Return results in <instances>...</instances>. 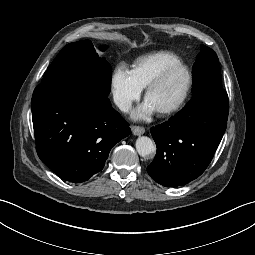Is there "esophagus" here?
<instances>
[{
  "mask_svg": "<svg viewBox=\"0 0 255 255\" xmlns=\"http://www.w3.org/2000/svg\"><path fill=\"white\" fill-rule=\"evenodd\" d=\"M131 130H132V133L137 136H140V135L144 134V132H145V129L141 126H132Z\"/></svg>",
  "mask_w": 255,
  "mask_h": 255,
  "instance_id": "1",
  "label": "esophagus"
}]
</instances>
